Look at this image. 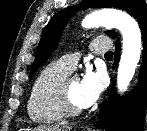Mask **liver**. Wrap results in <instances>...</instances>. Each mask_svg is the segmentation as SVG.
<instances>
[{"instance_id": "1", "label": "liver", "mask_w": 147, "mask_h": 131, "mask_svg": "<svg viewBox=\"0 0 147 131\" xmlns=\"http://www.w3.org/2000/svg\"><path fill=\"white\" fill-rule=\"evenodd\" d=\"M70 127H60L57 125L54 126H47V125H40L34 128L33 131H70Z\"/></svg>"}]
</instances>
